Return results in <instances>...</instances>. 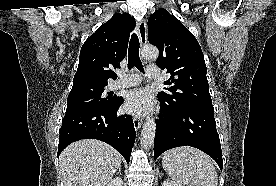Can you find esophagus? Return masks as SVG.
<instances>
[{
    "label": "esophagus",
    "instance_id": "34e87169",
    "mask_svg": "<svg viewBox=\"0 0 276 186\" xmlns=\"http://www.w3.org/2000/svg\"><path fill=\"white\" fill-rule=\"evenodd\" d=\"M138 36H139V40L141 45H144L146 43V39H147V32H146V23L144 20H141L138 23ZM133 124L136 130H138L141 125H142V119H140L139 117H133Z\"/></svg>",
    "mask_w": 276,
    "mask_h": 186
}]
</instances>
